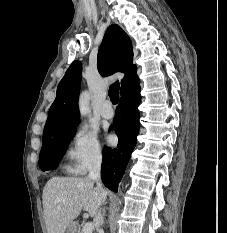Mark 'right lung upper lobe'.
Returning a JSON list of instances; mask_svg holds the SVG:
<instances>
[{
    "label": "right lung upper lobe",
    "instance_id": "1",
    "mask_svg": "<svg viewBox=\"0 0 227 233\" xmlns=\"http://www.w3.org/2000/svg\"><path fill=\"white\" fill-rule=\"evenodd\" d=\"M133 50L128 35L118 25H111L98 51L97 68L102 76L123 72L121 97L139 86L137 67L132 64ZM81 64L74 61L57 87L56 99L50 107L43 141L58 137L79 123L78 97Z\"/></svg>",
    "mask_w": 227,
    "mask_h": 233
}]
</instances>
